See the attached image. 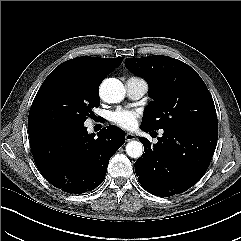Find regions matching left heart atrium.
<instances>
[{"mask_svg": "<svg viewBox=\"0 0 241 241\" xmlns=\"http://www.w3.org/2000/svg\"><path fill=\"white\" fill-rule=\"evenodd\" d=\"M138 113L131 110L119 109L111 113L110 120L124 129H132L137 124Z\"/></svg>", "mask_w": 241, "mask_h": 241, "instance_id": "1", "label": "left heart atrium"}]
</instances>
